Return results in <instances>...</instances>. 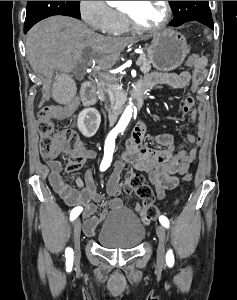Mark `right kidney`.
<instances>
[{
	"instance_id": "right-kidney-1",
	"label": "right kidney",
	"mask_w": 237,
	"mask_h": 300,
	"mask_svg": "<svg viewBox=\"0 0 237 300\" xmlns=\"http://www.w3.org/2000/svg\"><path fill=\"white\" fill-rule=\"evenodd\" d=\"M101 123L97 109H83L78 115L77 127L84 137H94Z\"/></svg>"
}]
</instances>
